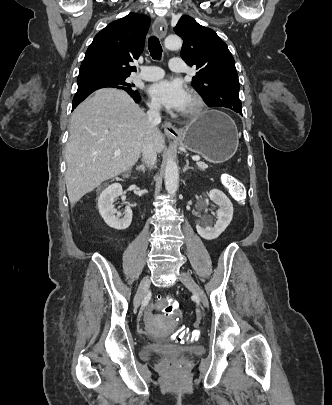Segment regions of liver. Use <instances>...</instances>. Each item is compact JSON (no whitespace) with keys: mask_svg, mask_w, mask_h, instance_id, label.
I'll return each instance as SVG.
<instances>
[{"mask_svg":"<svg viewBox=\"0 0 332 405\" xmlns=\"http://www.w3.org/2000/svg\"><path fill=\"white\" fill-rule=\"evenodd\" d=\"M149 131L147 116L124 91L104 88L94 92L73 112L65 148V181L71 204L102 182L129 170L139 159ZM156 152L165 140L156 128ZM120 149V155L114 152Z\"/></svg>","mask_w":332,"mask_h":405,"instance_id":"obj_1","label":"liver"}]
</instances>
